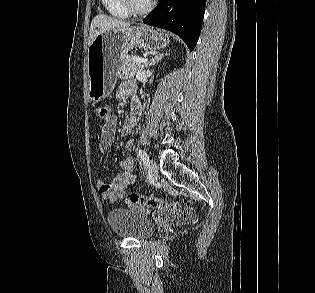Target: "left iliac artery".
<instances>
[{
    "label": "left iliac artery",
    "instance_id": "44dca946",
    "mask_svg": "<svg viewBox=\"0 0 315 293\" xmlns=\"http://www.w3.org/2000/svg\"><path fill=\"white\" fill-rule=\"evenodd\" d=\"M138 155H139L140 159L142 160V162L144 163V165L148 168L149 167V157H148L147 153L145 151L139 149Z\"/></svg>",
    "mask_w": 315,
    "mask_h": 293
}]
</instances>
